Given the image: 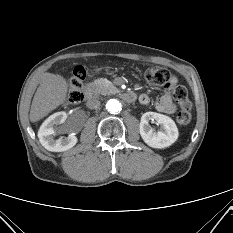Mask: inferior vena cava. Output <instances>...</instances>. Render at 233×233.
Instances as JSON below:
<instances>
[{
	"mask_svg": "<svg viewBox=\"0 0 233 233\" xmlns=\"http://www.w3.org/2000/svg\"><path fill=\"white\" fill-rule=\"evenodd\" d=\"M86 106L90 109H97L100 106V101L96 97L90 98L87 100Z\"/></svg>",
	"mask_w": 233,
	"mask_h": 233,
	"instance_id": "602c4592",
	"label": "inferior vena cava"
}]
</instances>
